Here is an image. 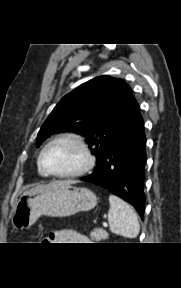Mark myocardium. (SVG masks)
I'll return each mask as SVG.
<instances>
[{"label": "myocardium", "instance_id": "f54148a6", "mask_svg": "<svg viewBox=\"0 0 181 288\" xmlns=\"http://www.w3.org/2000/svg\"><path fill=\"white\" fill-rule=\"evenodd\" d=\"M60 141H70L74 143L81 150L82 155H83V163L77 170L73 172H69V173H55L46 166L45 161H44L45 152L51 145ZM38 160H39V164L41 168L48 176L60 178V179L79 177L85 174L87 171H89L94 164L93 155L87 143L85 142L84 138L81 135L77 133H73V132H64V133L56 135L51 140H49L44 145L42 150L40 151Z\"/></svg>", "mask_w": 181, "mask_h": 288}]
</instances>
